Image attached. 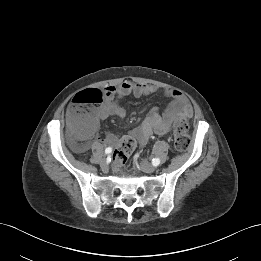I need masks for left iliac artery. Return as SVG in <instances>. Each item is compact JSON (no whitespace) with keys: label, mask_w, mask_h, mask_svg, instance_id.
<instances>
[{"label":"left iliac artery","mask_w":261,"mask_h":261,"mask_svg":"<svg viewBox=\"0 0 261 261\" xmlns=\"http://www.w3.org/2000/svg\"><path fill=\"white\" fill-rule=\"evenodd\" d=\"M152 164H153L154 166H158V165L160 164V159H159V158H154V159L152 160Z\"/></svg>","instance_id":"1"}]
</instances>
